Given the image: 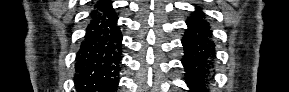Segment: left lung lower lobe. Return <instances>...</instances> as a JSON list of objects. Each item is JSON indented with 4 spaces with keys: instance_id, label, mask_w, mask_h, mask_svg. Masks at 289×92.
Segmentation results:
<instances>
[{
    "instance_id": "obj_1",
    "label": "left lung lower lobe",
    "mask_w": 289,
    "mask_h": 92,
    "mask_svg": "<svg viewBox=\"0 0 289 92\" xmlns=\"http://www.w3.org/2000/svg\"><path fill=\"white\" fill-rule=\"evenodd\" d=\"M186 23V30L182 39L184 57L182 64L186 71V83L191 92H207V83L213 67L214 44L212 33L204 13L199 7Z\"/></svg>"
}]
</instances>
